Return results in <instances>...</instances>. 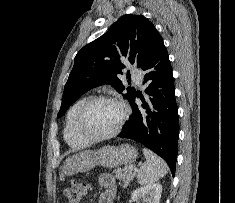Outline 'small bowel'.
<instances>
[{
  "label": "small bowel",
  "mask_w": 235,
  "mask_h": 203,
  "mask_svg": "<svg viewBox=\"0 0 235 203\" xmlns=\"http://www.w3.org/2000/svg\"><path fill=\"white\" fill-rule=\"evenodd\" d=\"M98 184L103 189L98 203H114L116 195V184L114 178L109 174H101Z\"/></svg>",
  "instance_id": "small-bowel-1"
}]
</instances>
